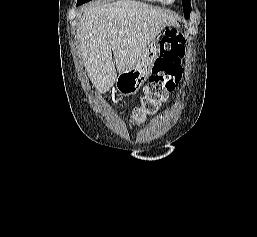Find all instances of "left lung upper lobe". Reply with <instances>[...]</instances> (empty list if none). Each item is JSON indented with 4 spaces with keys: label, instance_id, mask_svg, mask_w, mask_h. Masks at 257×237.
I'll list each match as a JSON object with an SVG mask.
<instances>
[{
    "label": "left lung upper lobe",
    "instance_id": "left-lung-upper-lobe-1",
    "mask_svg": "<svg viewBox=\"0 0 257 237\" xmlns=\"http://www.w3.org/2000/svg\"><path fill=\"white\" fill-rule=\"evenodd\" d=\"M182 5H183L185 18H189V15L191 12L190 0H182Z\"/></svg>",
    "mask_w": 257,
    "mask_h": 237
}]
</instances>
